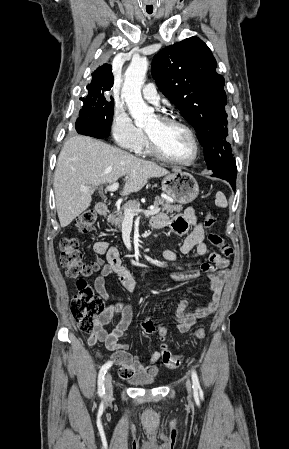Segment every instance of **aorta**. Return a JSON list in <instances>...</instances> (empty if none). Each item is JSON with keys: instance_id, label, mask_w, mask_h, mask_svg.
<instances>
[{"instance_id": "obj_1", "label": "aorta", "mask_w": 289, "mask_h": 449, "mask_svg": "<svg viewBox=\"0 0 289 449\" xmlns=\"http://www.w3.org/2000/svg\"><path fill=\"white\" fill-rule=\"evenodd\" d=\"M147 69L148 60L145 57L132 59L125 72V81L122 87V97L137 126L146 125L154 117V110L146 105L141 95V87Z\"/></svg>"}]
</instances>
